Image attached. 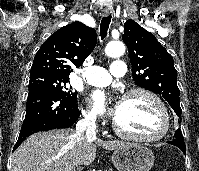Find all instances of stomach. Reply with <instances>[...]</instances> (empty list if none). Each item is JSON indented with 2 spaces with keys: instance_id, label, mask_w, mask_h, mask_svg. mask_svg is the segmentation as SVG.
Segmentation results:
<instances>
[{
  "instance_id": "1",
  "label": "stomach",
  "mask_w": 199,
  "mask_h": 171,
  "mask_svg": "<svg viewBox=\"0 0 199 171\" xmlns=\"http://www.w3.org/2000/svg\"><path fill=\"white\" fill-rule=\"evenodd\" d=\"M112 162L118 171H149L154 164V154L144 145L126 143L114 150Z\"/></svg>"
}]
</instances>
